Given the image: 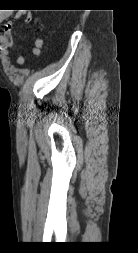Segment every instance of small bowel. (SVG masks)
Here are the masks:
<instances>
[{
    "label": "small bowel",
    "instance_id": "obj_1",
    "mask_svg": "<svg viewBox=\"0 0 138 253\" xmlns=\"http://www.w3.org/2000/svg\"><path fill=\"white\" fill-rule=\"evenodd\" d=\"M24 16L25 22L29 23L32 20V16L30 14H25L22 12H18L16 14V18H20ZM7 17L6 13H0V25H2ZM12 22H8L4 29L0 31V50L4 57H7L9 52L13 47V38L11 35ZM24 62L23 56L19 55L17 59V64L22 65Z\"/></svg>",
    "mask_w": 138,
    "mask_h": 253
}]
</instances>
